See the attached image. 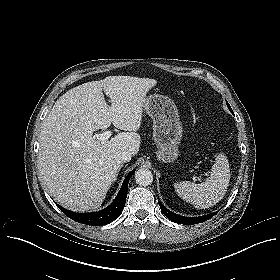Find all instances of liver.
Listing matches in <instances>:
<instances>
[{
	"mask_svg": "<svg viewBox=\"0 0 280 280\" xmlns=\"http://www.w3.org/2000/svg\"><path fill=\"white\" fill-rule=\"evenodd\" d=\"M156 84L155 79L108 76L57 99L42 123L38 155L43 183L56 202L78 212L101 206L121 169V153L139 151L146 93ZM111 123L124 132L106 141L94 138L95 130Z\"/></svg>",
	"mask_w": 280,
	"mask_h": 280,
	"instance_id": "liver-1",
	"label": "liver"
}]
</instances>
